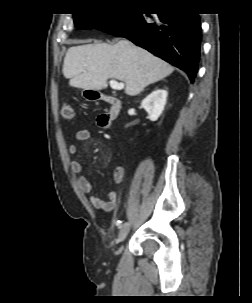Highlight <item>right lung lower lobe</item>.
Here are the masks:
<instances>
[{"label":"right lung lower lobe","instance_id":"98d812e1","mask_svg":"<svg viewBox=\"0 0 252 303\" xmlns=\"http://www.w3.org/2000/svg\"><path fill=\"white\" fill-rule=\"evenodd\" d=\"M99 30L131 40L185 71L191 81L196 77L201 46L198 14L167 9L152 17L135 12Z\"/></svg>","mask_w":252,"mask_h":303}]
</instances>
